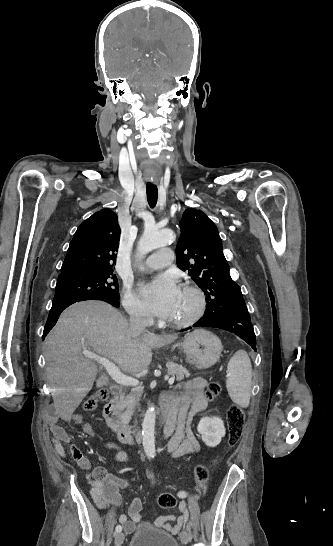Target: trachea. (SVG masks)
<instances>
[{"mask_svg":"<svg viewBox=\"0 0 333 546\" xmlns=\"http://www.w3.org/2000/svg\"><path fill=\"white\" fill-rule=\"evenodd\" d=\"M146 189H147V201H148L150 207L153 208V207H155V205L157 203V198H158L157 186L152 185V184H147Z\"/></svg>","mask_w":333,"mask_h":546,"instance_id":"1","label":"trachea"}]
</instances>
